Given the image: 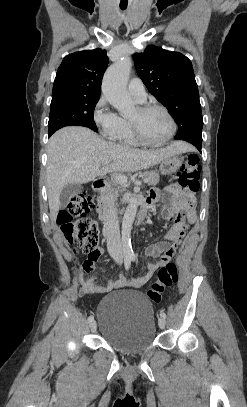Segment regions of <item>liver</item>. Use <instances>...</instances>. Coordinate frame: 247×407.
Returning <instances> with one entry per match:
<instances>
[{
    "instance_id": "6515ba94",
    "label": "liver",
    "mask_w": 247,
    "mask_h": 407,
    "mask_svg": "<svg viewBox=\"0 0 247 407\" xmlns=\"http://www.w3.org/2000/svg\"><path fill=\"white\" fill-rule=\"evenodd\" d=\"M190 149L189 144L181 141L161 149H133L107 142L86 127L62 128L48 142L46 179L50 217L56 219L61 191L69 184L87 183L109 172L147 169L168 156ZM106 161L109 164L100 168Z\"/></svg>"
}]
</instances>
